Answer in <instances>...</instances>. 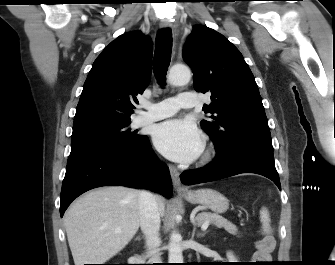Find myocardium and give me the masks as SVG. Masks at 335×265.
<instances>
[{
  "mask_svg": "<svg viewBox=\"0 0 335 265\" xmlns=\"http://www.w3.org/2000/svg\"><path fill=\"white\" fill-rule=\"evenodd\" d=\"M214 151L211 147H206L201 155L200 163L205 164L212 160Z\"/></svg>",
  "mask_w": 335,
  "mask_h": 265,
  "instance_id": "myocardium-1",
  "label": "myocardium"
}]
</instances>
